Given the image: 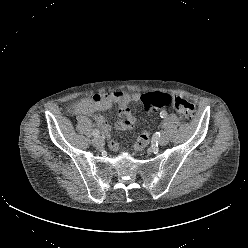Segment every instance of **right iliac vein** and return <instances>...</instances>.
<instances>
[{"label": "right iliac vein", "instance_id": "1", "mask_svg": "<svg viewBox=\"0 0 248 248\" xmlns=\"http://www.w3.org/2000/svg\"><path fill=\"white\" fill-rule=\"evenodd\" d=\"M92 141L94 146H96L97 148H100L104 145V140L99 136L95 137Z\"/></svg>", "mask_w": 248, "mask_h": 248}]
</instances>
